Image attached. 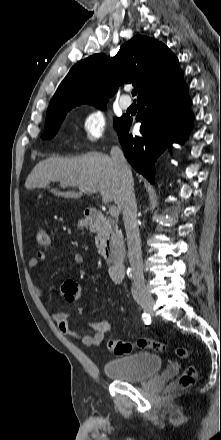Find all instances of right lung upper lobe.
I'll use <instances>...</instances> for the list:
<instances>
[{
  "mask_svg": "<svg viewBox=\"0 0 221 440\" xmlns=\"http://www.w3.org/2000/svg\"><path fill=\"white\" fill-rule=\"evenodd\" d=\"M183 78L178 59L161 42L136 35L115 57L91 55L76 63L61 82L48 110L89 103L101 106L122 83L139 88L138 100L158 93Z\"/></svg>",
  "mask_w": 221,
  "mask_h": 440,
  "instance_id": "1",
  "label": "right lung upper lobe"
}]
</instances>
